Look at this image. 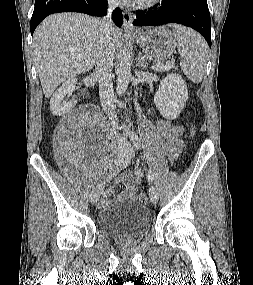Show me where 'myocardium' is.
Listing matches in <instances>:
<instances>
[{"instance_id": "f54148a6", "label": "myocardium", "mask_w": 253, "mask_h": 285, "mask_svg": "<svg viewBox=\"0 0 253 285\" xmlns=\"http://www.w3.org/2000/svg\"><path fill=\"white\" fill-rule=\"evenodd\" d=\"M161 0H138L136 5L139 8H150L157 5Z\"/></svg>"}]
</instances>
